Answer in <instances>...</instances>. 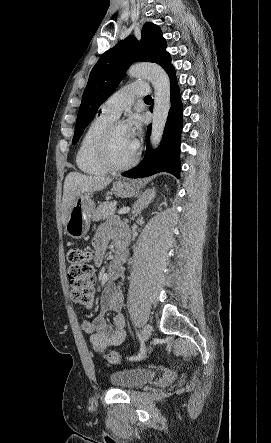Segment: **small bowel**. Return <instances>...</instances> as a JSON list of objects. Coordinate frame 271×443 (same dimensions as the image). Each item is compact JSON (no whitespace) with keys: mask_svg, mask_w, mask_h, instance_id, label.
<instances>
[{"mask_svg":"<svg viewBox=\"0 0 271 443\" xmlns=\"http://www.w3.org/2000/svg\"><path fill=\"white\" fill-rule=\"evenodd\" d=\"M117 238V234L106 228L99 230L93 238V260L100 265L104 259L109 237ZM124 253L119 252L117 258L109 266V275L112 280L119 278L123 271ZM124 292L119 285L108 284L101 297V308L99 315L93 320L84 319L81 322L82 330L89 335V343L96 351L121 344L126 336L125 318L122 312ZM112 312L113 322L108 324L106 315Z\"/></svg>","mask_w":271,"mask_h":443,"instance_id":"obj_1","label":"small bowel"}]
</instances>
